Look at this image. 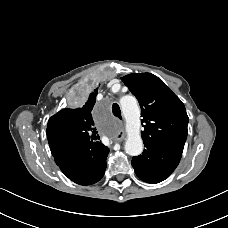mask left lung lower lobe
<instances>
[{"label": "left lung lower lobe", "mask_w": 228, "mask_h": 228, "mask_svg": "<svg viewBox=\"0 0 228 228\" xmlns=\"http://www.w3.org/2000/svg\"><path fill=\"white\" fill-rule=\"evenodd\" d=\"M142 155L132 158L136 175L147 183L165 180L177 167L182 150L162 145L145 144Z\"/></svg>", "instance_id": "obj_1"}]
</instances>
